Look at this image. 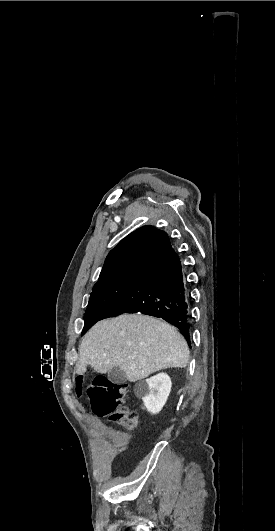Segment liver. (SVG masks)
I'll list each match as a JSON object with an SVG mask.
<instances>
[{"label": "liver", "mask_w": 275, "mask_h": 531, "mask_svg": "<svg viewBox=\"0 0 275 531\" xmlns=\"http://www.w3.org/2000/svg\"><path fill=\"white\" fill-rule=\"evenodd\" d=\"M188 345L175 327L148 315H120L99 321L79 347L77 375L90 365L97 373L120 367L135 383L168 367H187Z\"/></svg>", "instance_id": "1"}]
</instances>
